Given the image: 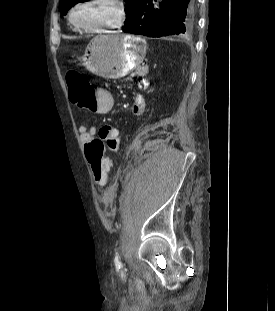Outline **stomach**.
Listing matches in <instances>:
<instances>
[{"label":"stomach","mask_w":275,"mask_h":311,"mask_svg":"<svg viewBox=\"0 0 275 311\" xmlns=\"http://www.w3.org/2000/svg\"><path fill=\"white\" fill-rule=\"evenodd\" d=\"M147 44L132 35H99L87 45L82 56L73 55L87 70L106 79L124 77L143 61Z\"/></svg>","instance_id":"stomach-1"}]
</instances>
